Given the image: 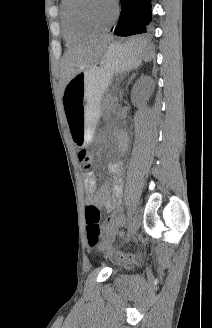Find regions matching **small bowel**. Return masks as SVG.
Wrapping results in <instances>:
<instances>
[{
    "instance_id": "obj_1",
    "label": "small bowel",
    "mask_w": 212,
    "mask_h": 328,
    "mask_svg": "<svg viewBox=\"0 0 212 328\" xmlns=\"http://www.w3.org/2000/svg\"><path fill=\"white\" fill-rule=\"evenodd\" d=\"M109 172L114 178L112 191L107 187L98 188L94 174L86 170L83 174L85 189L88 192V203L95 206L97 209L104 208L111 213L103 222V233L107 241L112 240L119 234L120 226L123 222L121 213V194L122 187L120 183L121 164L114 162L109 165Z\"/></svg>"
}]
</instances>
